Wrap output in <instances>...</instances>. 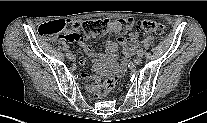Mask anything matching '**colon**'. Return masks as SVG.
I'll return each mask as SVG.
<instances>
[{"label": "colon", "mask_w": 207, "mask_h": 123, "mask_svg": "<svg viewBox=\"0 0 207 123\" xmlns=\"http://www.w3.org/2000/svg\"><path fill=\"white\" fill-rule=\"evenodd\" d=\"M116 24L122 32L130 30L135 27L136 30L145 33H153L157 36L165 35V26L162 23H157L153 21H138L134 22L132 19H118L115 21H110L108 19H94L87 20L77 25V30L70 35V38H80V37H93L101 36L108 32L112 26ZM64 28V22L62 20H55L51 22H45L39 25L38 33L42 37H54L62 32ZM116 80L114 78H107L101 83L95 84L93 91L96 97L102 98L106 96L116 87Z\"/></svg>", "instance_id": "colon-1"}]
</instances>
